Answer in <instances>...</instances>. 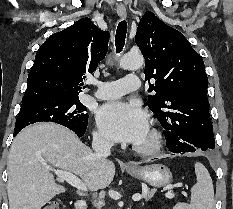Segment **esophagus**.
Returning a JSON list of instances; mask_svg holds the SVG:
<instances>
[{
	"label": "esophagus",
	"mask_w": 233,
	"mask_h": 209,
	"mask_svg": "<svg viewBox=\"0 0 233 209\" xmlns=\"http://www.w3.org/2000/svg\"><path fill=\"white\" fill-rule=\"evenodd\" d=\"M116 11H117V14L120 18H122V19L126 18L127 13H126V8L124 5H118L116 8ZM126 166L132 167L133 165L130 163H126Z\"/></svg>",
	"instance_id": "esophagus-1"
}]
</instances>
